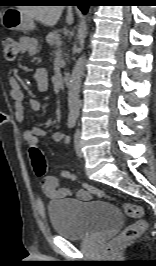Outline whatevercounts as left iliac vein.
Returning <instances> with one entry per match:
<instances>
[{
  "instance_id": "1",
  "label": "left iliac vein",
  "mask_w": 156,
  "mask_h": 266,
  "mask_svg": "<svg viewBox=\"0 0 156 266\" xmlns=\"http://www.w3.org/2000/svg\"><path fill=\"white\" fill-rule=\"evenodd\" d=\"M75 151L79 157L83 156V152L81 150V132L79 129L75 132V139H74Z\"/></svg>"
}]
</instances>
